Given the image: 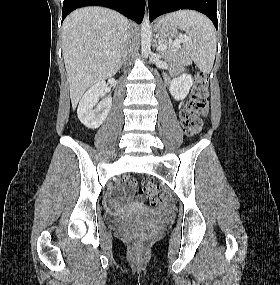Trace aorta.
<instances>
[{
	"mask_svg": "<svg viewBox=\"0 0 280 285\" xmlns=\"http://www.w3.org/2000/svg\"><path fill=\"white\" fill-rule=\"evenodd\" d=\"M151 40H152V29L150 26L149 16L147 12H145L141 25V49L144 58H147L150 52Z\"/></svg>",
	"mask_w": 280,
	"mask_h": 285,
	"instance_id": "762f6f07",
	"label": "aorta"
}]
</instances>
